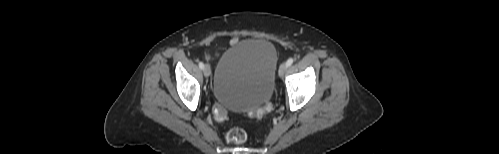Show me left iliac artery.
<instances>
[{"instance_id": "obj_1", "label": "left iliac artery", "mask_w": 499, "mask_h": 154, "mask_svg": "<svg viewBox=\"0 0 499 154\" xmlns=\"http://www.w3.org/2000/svg\"><path fill=\"white\" fill-rule=\"evenodd\" d=\"M293 61H294V60H293V58H289V59L287 60V62H286L287 66H288V67H289V66H291V65H292V63H293Z\"/></svg>"}]
</instances>
